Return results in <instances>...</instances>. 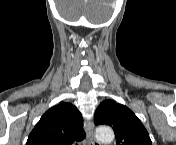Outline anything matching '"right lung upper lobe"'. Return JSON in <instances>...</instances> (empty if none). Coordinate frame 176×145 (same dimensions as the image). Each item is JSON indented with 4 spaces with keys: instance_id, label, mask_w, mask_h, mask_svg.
<instances>
[{
    "instance_id": "1",
    "label": "right lung upper lobe",
    "mask_w": 176,
    "mask_h": 145,
    "mask_svg": "<svg viewBox=\"0 0 176 145\" xmlns=\"http://www.w3.org/2000/svg\"><path fill=\"white\" fill-rule=\"evenodd\" d=\"M82 126V115L77 108L61 102L43 114L26 145H71L84 139Z\"/></svg>"
}]
</instances>
